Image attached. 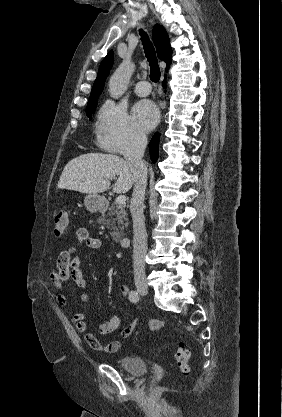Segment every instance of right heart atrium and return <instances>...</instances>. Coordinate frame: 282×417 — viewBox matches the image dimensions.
I'll return each mask as SVG.
<instances>
[{
  "label": "right heart atrium",
  "mask_w": 282,
  "mask_h": 417,
  "mask_svg": "<svg viewBox=\"0 0 282 417\" xmlns=\"http://www.w3.org/2000/svg\"><path fill=\"white\" fill-rule=\"evenodd\" d=\"M96 134L102 148L122 155L137 150L144 142L143 133L133 124L124 106L113 102L104 105Z\"/></svg>",
  "instance_id": "1"
}]
</instances>
